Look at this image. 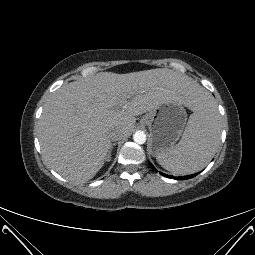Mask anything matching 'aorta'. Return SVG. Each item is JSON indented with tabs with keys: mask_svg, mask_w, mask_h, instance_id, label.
<instances>
[{
	"mask_svg": "<svg viewBox=\"0 0 255 255\" xmlns=\"http://www.w3.org/2000/svg\"><path fill=\"white\" fill-rule=\"evenodd\" d=\"M133 140L137 144H144L146 142V134L143 131H136L133 135Z\"/></svg>",
	"mask_w": 255,
	"mask_h": 255,
	"instance_id": "1",
	"label": "aorta"
}]
</instances>
